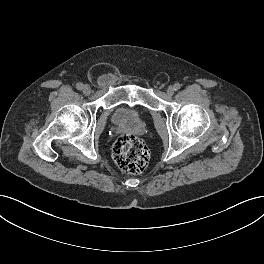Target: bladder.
<instances>
[{
  "instance_id": "31cf9c89",
  "label": "bladder",
  "mask_w": 264,
  "mask_h": 264,
  "mask_svg": "<svg viewBox=\"0 0 264 264\" xmlns=\"http://www.w3.org/2000/svg\"><path fill=\"white\" fill-rule=\"evenodd\" d=\"M140 118V113L135 107L128 105L118 106L112 113L111 120L115 125L135 124Z\"/></svg>"
}]
</instances>
